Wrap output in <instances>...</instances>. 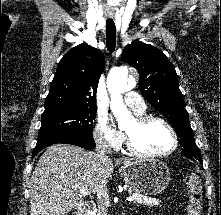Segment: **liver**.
Here are the masks:
<instances>
[{"instance_id": "liver-1", "label": "liver", "mask_w": 221, "mask_h": 215, "mask_svg": "<svg viewBox=\"0 0 221 215\" xmlns=\"http://www.w3.org/2000/svg\"><path fill=\"white\" fill-rule=\"evenodd\" d=\"M113 170V160L99 159L94 151L67 144L48 147L30 179V215H67L83 203L80 189L95 192Z\"/></svg>"}]
</instances>
